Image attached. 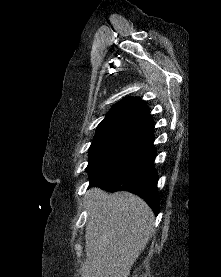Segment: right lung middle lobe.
I'll return each mask as SVG.
<instances>
[{"mask_svg": "<svg viewBox=\"0 0 221 277\" xmlns=\"http://www.w3.org/2000/svg\"><path fill=\"white\" fill-rule=\"evenodd\" d=\"M146 135L144 127L139 124L98 127L89 149L87 171L90 178L105 176L118 168Z\"/></svg>", "mask_w": 221, "mask_h": 277, "instance_id": "dd1d6c3e", "label": "right lung middle lobe"}]
</instances>
